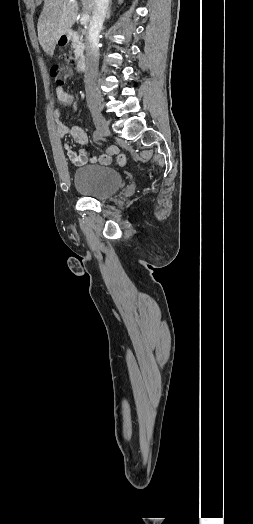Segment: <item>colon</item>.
<instances>
[{"label": "colon", "instance_id": "obj_1", "mask_svg": "<svg viewBox=\"0 0 253 524\" xmlns=\"http://www.w3.org/2000/svg\"><path fill=\"white\" fill-rule=\"evenodd\" d=\"M61 64L53 65L50 68V74L55 80L56 89H62L66 80L70 77L72 71L77 67L78 56L76 53H63L61 56ZM127 158L121 154L118 156L119 164H125Z\"/></svg>", "mask_w": 253, "mask_h": 524}]
</instances>
